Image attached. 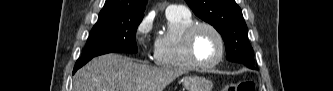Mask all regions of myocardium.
Instances as JSON below:
<instances>
[{
  "label": "myocardium",
  "instance_id": "myocardium-1",
  "mask_svg": "<svg viewBox=\"0 0 333 91\" xmlns=\"http://www.w3.org/2000/svg\"><path fill=\"white\" fill-rule=\"evenodd\" d=\"M203 28L212 31L217 37L220 44V52L218 57L210 63L200 62L195 55V37L198 31ZM184 47H185L186 57L188 61L194 66V68L204 69V70L212 69L217 65H219L224 59L226 53V43L224 36L217 27L207 22H196L186 30L184 35Z\"/></svg>",
  "mask_w": 333,
  "mask_h": 91
}]
</instances>
